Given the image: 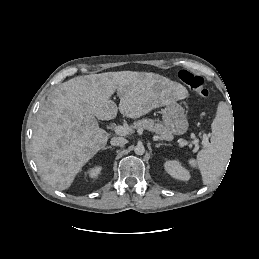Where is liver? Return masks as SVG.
<instances>
[{
  "instance_id": "1",
  "label": "liver",
  "mask_w": 259,
  "mask_h": 259,
  "mask_svg": "<svg viewBox=\"0 0 259 259\" xmlns=\"http://www.w3.org/2000/svg\"><path fill=\"white\" fill-rule=\"evenodd\" d=\"M119 106L111 100L114 92ZM186 97L185 88L152 72L119 71L77 76L52 91L40 109L32 145L43 179L62 191L108 141L98 125L120 113L136 119Z\"/></svg>"
}]
</instances>
